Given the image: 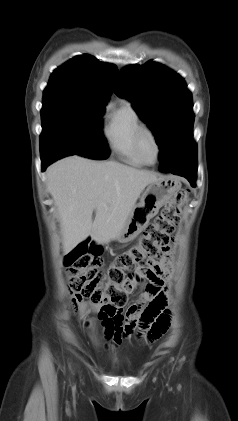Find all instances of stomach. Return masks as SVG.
<instances>
[{
  "instance_id": "obj_1",
  "label": "stomach",
  "mask_w": 238,
  "mask_h": 421,
  "mask_svg": "<svg viewBox=\"0 0 238 421\" xmlns=\"http://www.w3.org/2000/svg\"><path fill=\"white\" fill-rule=\"evenodd\" d=\"M178 180L172 177H163L148 185L124 223L123 228L116 236L120 242L126 243L136 238L148 225L159 209L167 204L179 190Z\"/></svg>"
}]
</instances>
